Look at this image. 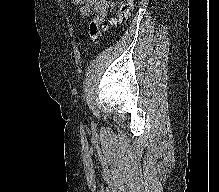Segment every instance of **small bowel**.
I'll return each instance as SVG.
<instances>
[{
    "label": "small bowel",
    "mask_w": 219,
    "mask_h": 192,
    "mask_svg": "<svg viewBox=\"0 0 219 192\" xmlns=\"http://www.w3.org/2000/svg\"><path fill=\"white\" fill-rule=\"evenodd\" d=\"M73 2L80 6V13L83 16H89L96 12L99 16L106 17L109 10L115 5L112 0H73Z\"/></svg>",
    "instance_id": "small-bowel-1"
}]
</instances>
